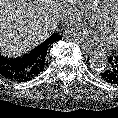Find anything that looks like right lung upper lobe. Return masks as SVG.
<instances>
[{
    "label": "right lung upper lobe",
    "instance_id": "right-lung-upper-lobe-1",
    "mask_svg": "<svg viewBox=\"0 0 118 118\" xmlns=\"http://www.w3.org/2000/svg\"><path fill=\"white\" fill-rule=\"evenodd\" d=\"M57 41V35L56 34H52L47 41L43 42L42 44L38 45L37 47H35L32 50L33 55L36 56V58L38 59L37 61V67L40 69H43L45 61H46V56H47V52L49 47L51 46V44L53 42Z\"/></svg>",
    "mask_w": 118,
    "mask_h": 118
}]
</instances>
